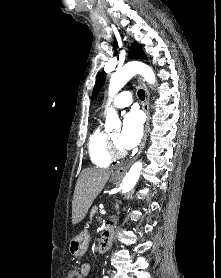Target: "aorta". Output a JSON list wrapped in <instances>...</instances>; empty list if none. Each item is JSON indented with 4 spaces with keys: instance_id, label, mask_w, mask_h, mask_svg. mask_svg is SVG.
Returning <instances> with one entry per match:
<instances>
[{
    "instance_id": "762f6f07",
    "label": "aorta",
    "mask_w": 221,
    "mask_h": 278,
    "mask_svg": "<svg viewBox=\"0 0 221 278\" xmlns=\"http://www.w3.org/2000/svg\"><path fill=\"white\" fill-rule=\"evenodd\" d=\"M136 74H140L144 80L149 84L156 82L155 74L151 67L141 62H129L122 68L118 69L111 77L109 83V97L113 98L124 85ZM117 119V113L114 108L108 107L106 109V120L112 121ZM142 162H136L133 164L125 175L121 189L123 193L129 192L139 179Z\"/></svg>"
}]
</instances>
